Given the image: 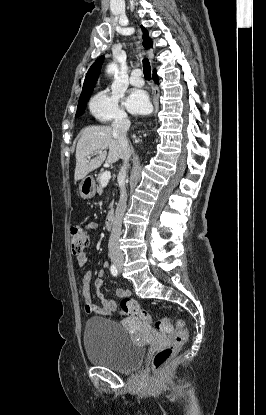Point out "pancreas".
Masks as SVG:
<instances>
[{
	"mask_svg": "<svg viewBox=\"0 0 266 415\" xmlns=\"http://www.w3.org/2000/svg\"><path fill=\"white\" fill-rule=\"evenodd\" d=\"M101 175L102 173H100L97 177V182L99 183V185H97L96 191L99 195L103 193V186L101 185ZM110 207H112V204H110Z\"/></svg>",
	"mask_w": 266,
	"mask_h": 415,
	"instance_id": "cf45deb5",
	"label": "pancreas"
}]
</instances>
